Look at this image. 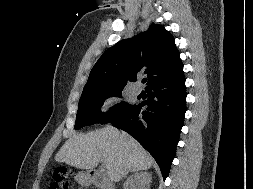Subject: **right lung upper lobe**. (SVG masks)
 <instances>
[{"mask_svg":"<svg viewBox=\"0 0 253 189\" xmlns=\"http://www.w3.org/2000/svg\"><path fill=\"white\" fill-rule=\"evenodd\" d=\"M139 71L148 74L147 87L183 74L174 38L163 26L151 24L147 31L107 49L92 68L83 91L124 87L137 80Z\"/></svg>","mask_w":253,"mask_h":189,"instance_id":"right-lung-upper-lobe-1","label":"right lung upper lobe"}]
</instances>
